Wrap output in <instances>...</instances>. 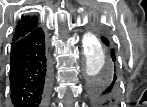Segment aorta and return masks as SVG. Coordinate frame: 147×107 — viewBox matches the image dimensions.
Listing matches in <instances>:
<instances>
[{"label":"aorta","mask_w":147,"mask_h":107,"mask_svg":"<svg viewBox=\"0 0 147 107\" xmlns=\"http://www.w3.org/2000/svg\"><path fill=\"white\" fill-rule=\"evenodd\" d=\"M84 53L86 59V73L91 80L106 79L113 73L111 60L93 36H87L84 40Z\"/></svg>","instance_id":"1"}]
</instances>
